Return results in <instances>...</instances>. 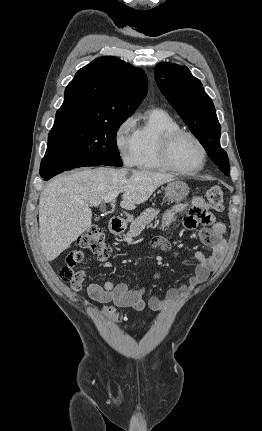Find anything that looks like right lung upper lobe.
<instances>
[{"label": "right lung upper lobe", "mask_w": 262, "mask_h": 431, "mask_svg": "<svg viewBox=\"0 0 262 431\" xmlns=\"http://www.w3.org/2000/svg\"><path fill=\"white\" fill-rule=\"evenodd\" d=\"M147 90L143 70L117 57H99L81 68L66 87L54 125L78 120L127 119Z\"/></svg>", "instance_id": "cb5924a9"}]
</instances>
